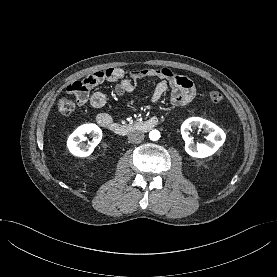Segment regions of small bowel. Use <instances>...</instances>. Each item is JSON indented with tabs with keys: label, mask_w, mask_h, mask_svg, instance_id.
I'll use <instances>...</instances> for the list:
<instances>
[{
	"label": "small bowel",
	"mask_w": 277,
	"mask_h": 277,
	"mask_svg": "<svg viewBox=\"0 0 277 277\" xmlns=\"http://www.w3.org/2000/svg\"><path fill=\"white\" fill-rule=\"evenodd\" d=\"M142 79H155L157 84L152 94V101L158 104L162 96L170 89V101L174 106H185L189 104L196 95L194 83L187 77L177 75L168 68L159 69H137L132 70L127 75L121 68H109L97 71L89 75L82 83L85 87L84 91L78 92L74 90L77 82L70 84L67 88L70 94H73L79 105L90 103L96 109H101L106 105L107 98L102 92H95L89 95V90L95 86L108 81L115 83V92L122 96L125 93L135 91L137 83ZM104 120H112V116L107 112H101L97 116V122L101 125Z\"/></svg>",
	"instance_id": "obj_1"
}]
</instances>
